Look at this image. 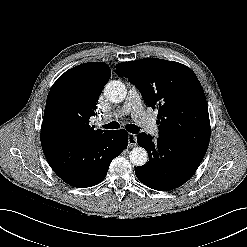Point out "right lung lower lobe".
<instances>
[{"instance_id":"obj_1","label":"right lung lower lobe","mask_w":247,"mask_h":247,"mask_svg":"<svg viewBox=\"0 0 247 247\" xmlns=\"http://www.w3.org/2000/svg\"><path fill=\"white\" fill-rule=\"evenodd\" d=\"M128 133L106 131L84 144H72L41 135L45 157L53 171L67 184L86 188L97 185L107 175L111 161L127 148Z\"/></svg>"}]
</instances>
